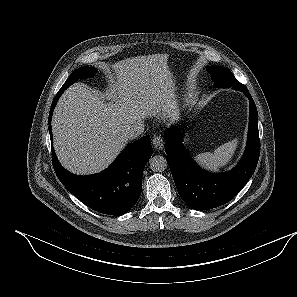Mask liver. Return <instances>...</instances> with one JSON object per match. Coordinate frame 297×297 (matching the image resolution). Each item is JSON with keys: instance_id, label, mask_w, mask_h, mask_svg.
Returning <instances> with one entry per match:
<instances>
[{"instance_id": "6515ba94", "label": "liver", "mask_w": 297, "mask_h": 297, "mask_svg": "<svg viewBox=\"0 0 297 297\" xmlns=\"http://www.w3.org/2000/svg\"><path fill=\"white\" fill-rule=\"evenodd\" d=\"M168 54L127 58L112 64L107 102L84 84L70 86L52 118L54 149L68 171L104 170L127 144V126L162 113L174 119L175 84Z\"/></svg>"}]
</instances>
